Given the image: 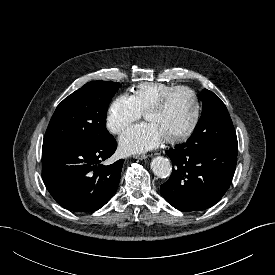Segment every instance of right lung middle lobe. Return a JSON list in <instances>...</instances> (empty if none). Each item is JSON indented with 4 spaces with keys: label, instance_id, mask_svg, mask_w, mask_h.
<instances>
[{
    "label": "right lung middle lobe",
    "instance_id": "right-lung-middle-lobe-1",
    "mask_svg": "<svg viewBox=\"0 0 275 275\" xmlns=\"http://www.w3.org/2000/svg\"><path fill=\"white\" fill-rule=\"evenodd\" d=\"M119 83L93 81L65 98L56 108L43 144H98L111 136L106 129L107 108Z\"/></svg>",
    "mask_w": 275,
    "mask_h": 275
}]
</instances>
